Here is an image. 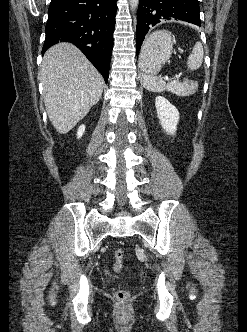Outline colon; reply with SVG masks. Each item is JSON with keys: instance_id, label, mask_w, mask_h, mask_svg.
I'll return each instance as SVG.
<instances>
[{"instance_id": "1", "label": "colon", "mask_w": 247, "mask_h": 332, "mask_svg": "<svg viewBox=\"0 0 247 332\" xmlns=\"http://www.w3.org/2000/svg\"><path fill=\"white\" fill-rule=\"evenodd\" d=\"M125 253L121 248H117L114 251V269L116 272H119L123 266ZM116 299L121 303H126L130 299V293L126 289H119L115 293Z\"/></svg>"}]
</instances>
